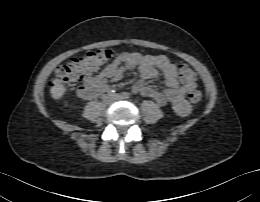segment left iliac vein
<instances>
[{
	"instance_id": "obj_1",
	"label": "left iliac vein",
	"mask_w": 260,
	"mask_h": 202,
	"mask_svg": "<svg viewBox=\"0 0 260 202\" xmlns=\"http://www.w3.org/2000/svg\"><path fill=\"white\" fill-rule=\"evenodd\" d=\"M114 98H115L116 100L124 99L123 95H121V94H117V95H115Z\"/></svg>"
}]
</instances>
